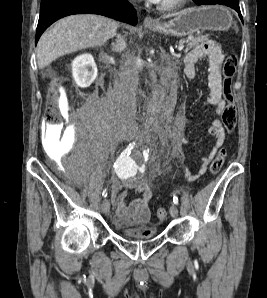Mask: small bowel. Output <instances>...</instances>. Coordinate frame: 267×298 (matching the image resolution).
Instances as JSON below:
<instances>
[{
	"instance_id": "obj_1",
	"label": "small bowel",
	"mask_w": 267,
	"mask_h": 298,
	"mask_svg": "<svg viewBox=\"0 0 267 298\" xmlns=\"http://www.w3.org/2000/svg\"><path fill=\"white\" fill-rule=\"evenodd\" d=\"M207 57L209 60V75L208 86L210 89L208 103L214 107L217 118L214 119L209 127V133L215 138V146L210 154L203 158L201 166L198 170V175L189 176V180H195L199 175H203L207 171V167L214 156L216 146L221 144L225 138V127L223 125V113L227 107V103L223 98L222 93V74L221 66L224 60V55L220 46L214 41L208 40L196 46L184 58V72L186 76L193 79L196 76L195 65L198 60ZM173 106H170V111ZM157 171L158 168H155ZM128 188L118 194L121 188V182L114 180L112 184V197L115 204V211L119 223L123 225H131L136 223L142 227L135 229L139 235H149L153 232L152 228L146 227L151 218V211L148 206L150 199L153 196V186L149 178L141 179L134 177L125 181ZM129 190L141 194L130 202H127Z\"/></svg>"
}]
</instances>
